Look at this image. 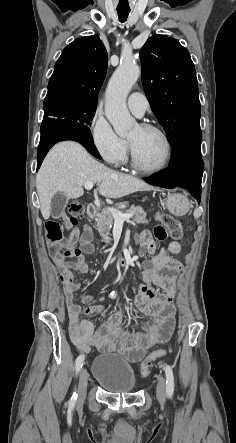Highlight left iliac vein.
<instances>
[{
  "label": "left iliac vein",
  "instance_id": "1",
  "mask_svg": "<svg viewBox=\"0 0 236 443\" xmlns=\"http://www.w3.org/2000/svg\"><path fill=\"white\" fill-rule=\"evenodd\" d=\"M165 385L166 384H165L164 377L159 375L158 376V384H157L156 395H157V399H158L159 403L162 406L165 404V400H166Z\"/></svg>",
  "mask_w": 236,
  "mask_h": 443
}]
</instances>
